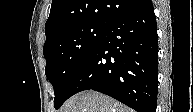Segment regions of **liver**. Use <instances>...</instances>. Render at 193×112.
<instances>
[{
  "mask_svg": "<svg viewBox=\"0 0 193 112\" xmlns=\"http://www.w3.org/2000/svg\"><path fill=\"white\" fill-rule=\"evenodd\" d=\"M61 112H133L111 97L95 91H83L68 99Z\"/></svg>",
  "mask_w": 193,
  "mask_h": 112,
  "instance_id": "1",
  "label": "liver"
}]
</instances>
